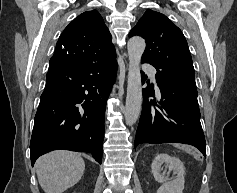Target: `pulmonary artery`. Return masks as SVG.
Masks as SVG:
<instances>
[{
    "mask_svg": "<svg viewBox=\"0 0 237 193\" xmlns=\"http://www.w3.org/2000/svg\"><path fill=\"white\" fill-rule=\"evenodd\" d=\"M143 70L146 71L147 73H149L151 75L153 81L155 82V68L151 65L144 64Z\"/></svg>",
    "mask_w": 237,
    "mask_h": 193,
    "instance_id": "e3ab8cb5",
    "label": "pulmonary artery"
}]
</instances>
